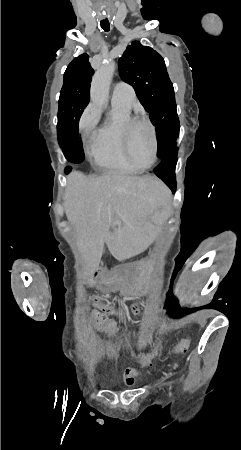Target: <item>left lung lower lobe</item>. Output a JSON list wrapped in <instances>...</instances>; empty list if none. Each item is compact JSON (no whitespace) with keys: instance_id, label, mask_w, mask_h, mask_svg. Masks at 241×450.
<instances>
[{"instance_id":"0a47b994","label":"left lung lower lobe","mask_w":241,"mask_h":450,"mask_svg":"<svg viewBox=\"0 0 241 450\" xmlns=\"http://www.w3.org/2000/svg\"><path fill=\"white\" fill-rule=\"evenodd\" d=\"M177 162V149L166 158L160 160V164L154 169V173L163 180L174 192L176 189L175 167Z\"/></svg>"}]
</instances>
